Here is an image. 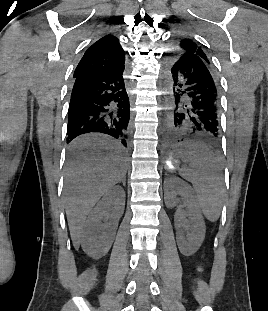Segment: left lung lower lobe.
Listing matches in <instances>:
<instances>
[{"label": "left lung lower lobe", "mask_w": 268, "mask_h": 311, "mask_svg": "<svg viewBox=\"0 0 268 311\" xmlns=\"http://www.w3.org/2000/svg\"><path fill=\"white\" fill-rule=\"evenodd\" d=\"M165 69L176 105L167 123L168 141L218 143L221 138L220 97L214 67L200 59L177 60L171 55Z\"/></svg>", "instance_id": "obj_1"}]
</instances>
